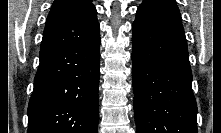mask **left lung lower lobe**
<instances>
[{
	"instance_id": "left-lung-lower-lobe-1",
	"label": "left lung lower lobe",
	"mask_w": 221,
	"mask_h": 133,
	"mask_svg": "<svg viewBox=\"0 0 221 133\" xmlns=\"http://www.w3.org/2000/svg\"><path fill=\"white\" fill-rule=\"evenodd\" d=\"M136 133H197V105L184 30L132 25Z\"/></svg>"
}]
</instances>
